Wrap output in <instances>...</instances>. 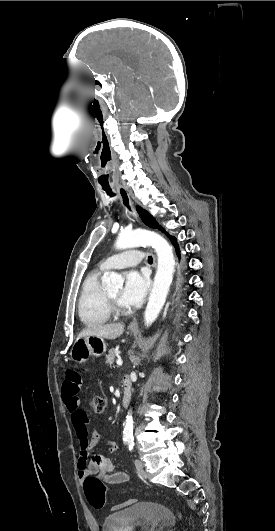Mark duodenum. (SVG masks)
Returning a JSON list of instances; mask_svg holds the SVG:
<instances>
[{
    "instance_id": "1",
    "label": "duodenum",
    "mask_w": 275,
    "mask_h": 531,
    "mask_svg": "<svg viewBox=\"0 0 275 531\" xmlns=\"http://www.w3.org/2000/svg\"><path fill=\"white\" fill-rule=\"evenodd\" d=\"M123 388H124V393H123V397L120 403L121 407L128 406L132 399L133 384H132V379L129 376L123 377Z\"/></svg>"
}]
</instances>
